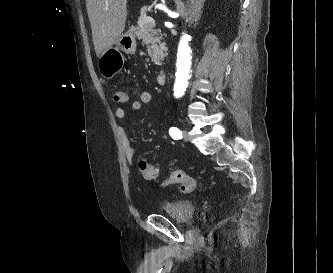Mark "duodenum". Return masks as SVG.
<instances>
[{"label": "duodenum", "mask_w": 333, "mask_h": 273, "mask_svg": "<svg viewBox=\"0 0 333 273\" xmlns=\"http://www.w3.org/2000/svg\"><path fill=\"white\" fill-rule=\"evenodd\" d=\"M157 83L159 86H165L167 83V73L166 71H161L157 77Z\"/></svg>", "instance_id": "410a0bca"}]
</instances>
